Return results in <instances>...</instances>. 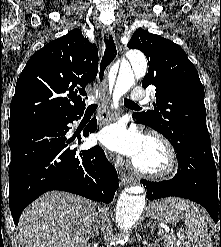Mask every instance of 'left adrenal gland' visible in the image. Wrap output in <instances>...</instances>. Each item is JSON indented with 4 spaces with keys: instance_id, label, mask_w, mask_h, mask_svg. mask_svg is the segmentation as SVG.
<instances>
[{
    "instance_id": "obj_1",
    "label": "left adrenal gland",
    "mask_w": 221,
    "mask_h": 247,
    "mask_svg": "<svg viewBox=\"0 0 221 247\" xmlns=\"http://www.w3.org/2000/svg\"><path fill=\"white\" fill-rule=\"evenodd\" d=\"M145 227H149V228L151 229V234H152L153 229H154V227H153V225H152V222H148V223L145 225Z\"/></svg>"
}]
</instances>
